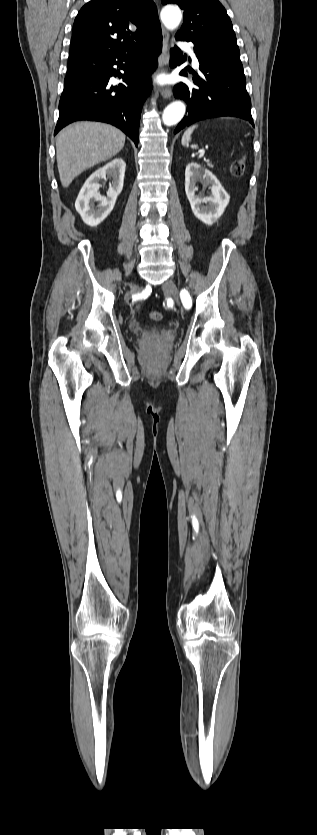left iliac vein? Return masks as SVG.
<instances>
[{"mask_svg": "<svg viewBox=\"0 0 317 835\" xmlns=\"http://www.w3.org/2000/svg\"><path fill=\"white\" fill-rule=\"evenodd\" d=\"M162 288H163L164 292H166V293H167V294H169V295H172V296L175 298V300H177V301H178V299H179V291H178V289H177V287H176L175 283H174L172 280H168V281H166V282L163 284Z\"/></svg>", "mask_w": 317, "mask_h": 835, "instance_id": "1", "label": "left iliac vein"}]
</instances>
